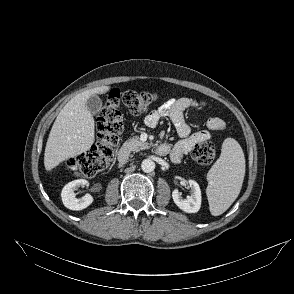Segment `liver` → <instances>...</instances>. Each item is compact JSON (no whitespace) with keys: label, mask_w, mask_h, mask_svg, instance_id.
Returning a JSON list of instances; mask_svg holds the SVG:
<instances>
[{"label":"liver","mask_w":294,"mask_h":294,"mask_svg":"<svg viewBox=\"0 0 294 294\" xmlns=\"http://www.w3.org/2000/svg\"><path fill=\"white\" fill-rule=\"evenodd\" d=\"M109 89V86H101L86 90L63 107L46 143L44 166L47 171L90 149L95 138L94 118L86 108V102L92 95L104 94Z\"/></svg>","instance_id":"1"}]
</instances>
